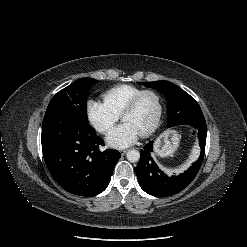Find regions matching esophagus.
Instances as JSON below:
<instances>
[{"instance_id":"esophagus-1","label":"esophagus","mask_w":247,"mask_h":247,"mask_svg":"<svg viewBox=\"0 0 247 247\" xmlns=\"http://www.w3.org/2000/svg\"><path fill=\"white\" fill-rule=\"evenodd\" d=\"M119 152L121 155H125L127 153V150L126 149H120Z\"/></svg>"}]
</instances>
